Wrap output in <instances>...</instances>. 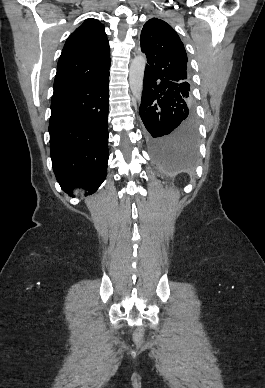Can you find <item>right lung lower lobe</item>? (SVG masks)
Returning <instances> with one entry per match:
<instances>
[{
  "label": "right lung lower lobe",
  "instance_id": "1",
  "mask_svg": "<svg viewBox=\"0 0 265 388\" xmlns=\"http://www.w3.org/2000/svg\"><path fill=\"white\" fill-rule=\"evenodd\" d=\"M109 74L54 92L49 123L52 167L61 188L95 192L107 174Z\"/></svg>",
  "mask_w": 265,
  "mask_h": 388
}]
</instances>
